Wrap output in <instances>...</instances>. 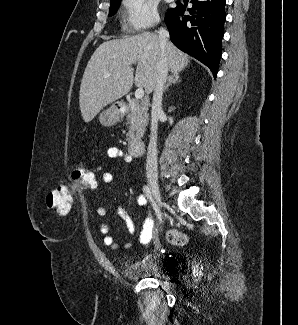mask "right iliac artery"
<instances>
[{
	"instance_id": "82829eb1",
	"label": "right iliac artery",
	"mask_w": 298,
	"mask_h": 325,
	"mask_svg": "<svg viewBox=\"0 0 298 325\" xmlns=\"http://www.w3.org/2000/svg\"><path fill=\"white\" fill-rule=\"evenodd\" d=\"M143 191H144L146 197L152 203V205L154 207V210H155V212L157 214V218H158L159 222L161 223L162 222L161 213H160L159 209L157 208L156 204L153 201V198H152V195H151V192H150L149 187L148 186H144Z\"/></svg>"
}]
</instances>
